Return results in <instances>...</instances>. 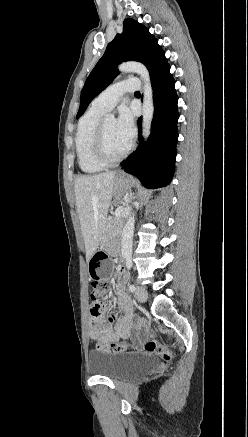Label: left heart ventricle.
Instances as JSON below:
<instances>
[{
    "instance_id": "left-heart-ventricle-1",
    "label": "left heart ventricle",
    "mask_w": 248,
    "mask_h": 437,
    "mask_svg": "<svg viewBox=\"0 0 248 437\" xmlns=\"http://www.w3.org/2000/svg\"><path fill=\"white\" fill-rule=\"evenodd\" d=\"M129 142L125 141L118 134L116 129V121L114 119L105 120V145L110 156H117L127 146Z\"/></svg>"
}]
</instances>
